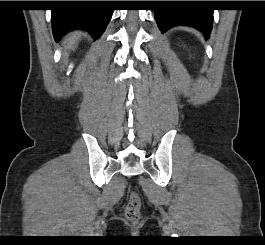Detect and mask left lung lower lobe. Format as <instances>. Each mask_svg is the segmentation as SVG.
I'll return each instance as SVG.
<instances>
[{
	"label": "left lung lower lobe",
	"instance_id": "obj_1",
	"mask_svg": "<svg viewBox=\"0 0 265 245\" xmlns=\"http://www.w3.org/2000/svg\"><path fill=\"white\" fill-rule=\"evenodd\" d=\"M199 1H174L170 8L155 10V20L161 32L177 25L191 26L201 31L207 38L212 29L213 10L191 8ZM186 6L187 8H182Z\"/></svg>",
	"mask_w": 265,
	"mask_h": 245
}]
</instances>
